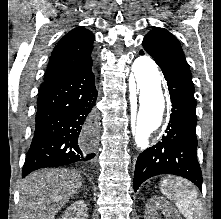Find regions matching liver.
I'll use <instances>...</instances> for the list:
<instances>
[{
  "label": "liver",
  "instance_id": "obj_1",
  "mask_svg": "<svg viewBox=\"0 0 221 219\" xmlns=\"http://www.w3.org/2000/svg\"><path fill=\"white\" fill-rule=\"evenodd\" d=\"M81 186L82 176L73 171L33 172L20 187L19 219H54Z\"/></svg>",
  "mask_w": 221,
  "mask_h": 219
}]
</instances>
